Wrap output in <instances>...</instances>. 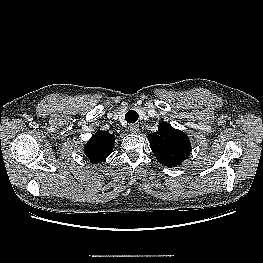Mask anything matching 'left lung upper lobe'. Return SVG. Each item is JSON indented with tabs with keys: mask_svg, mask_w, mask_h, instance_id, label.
<instances>
[{
	"mask_svg": "<svg viewBox=\"0 0 263 263\" xmlns=\"http://www.w3.org/2000/svg\"><path fill=\"white\" fill-rule=\"evenodd\" d=\"M158 128L157 132L148 135L153 153L165 166L180 165L190 154V140L171 124L161 123Z\"/></svg>",
	"mask_w": 263,
	"mask_h": 263,
	"instance_id": "left-lung-upper-lobe-1",
	"label": "left lung upper lobe"
}]
</instances>
